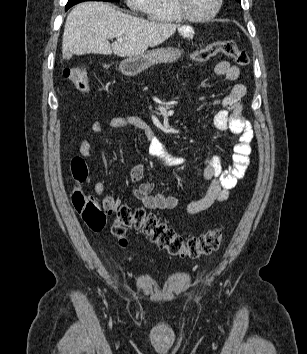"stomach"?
<instances>
[{
    "label": "stomach",
    "mask_w": 307,
    "mask_h": 354,
    "mask_svg": "<svg viewBox=\"0 0 307 354\" xmlns=\"http://www.w3.org/2000/svg\"><path fill=\"white\" fill-rule=\"evenodd\" d=\"M180 56L181 51L177 48L155 49L124 59L119 70L126 76H134L154 65L175 62Z\"/></svg>",
    "instance_id": "0dacf381"
}]
</instances>
